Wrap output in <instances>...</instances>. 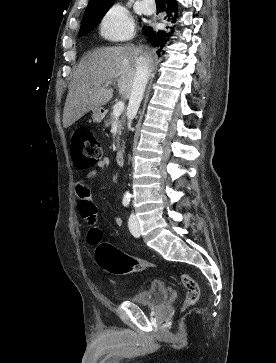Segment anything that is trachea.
Segmentation results:
<instances>
[{
	"label": "trachea",
	"mask_w": 276,
	"mask_h": 363,
	"mask_svg": "<svg viewBox=\"0 0 276 363\" xmlns=\"http://www.w3.org/2000/svg\"><path fill=\"white\" fill-rule=\"evenodd\" d=\"M157 5H165V0H156Z\"/></svg>",
	"instance_id": "trachea-1"
}]
</instances>
